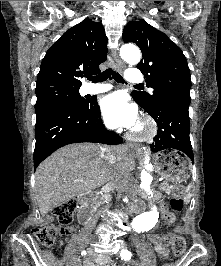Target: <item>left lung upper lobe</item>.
<instances>
[{"label":"left lung upper lobe","mask_w":221,"mask_h":266,"mask_svg":"<svg viewBox=\"0 0 221 266\" xmlns=\"http://www.w3.org/2000/svg\"><path fill=\"white\" fill-rule=\"evenodd\" d=\"M124 42L135 43L143 59L137 68L144 73L152 94L134 91L132 97L144 109L156 112L164 102L190 105L191 78L181 49L166 34L145 20L129 22L123 30Z\"/></svg>","instance_id":"1"}]
</instances>
